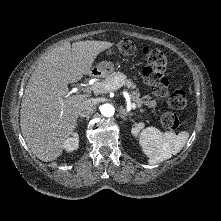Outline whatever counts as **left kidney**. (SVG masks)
Here are the masks:
<instances>
[{"mask_svg": "<svg viewBox=\"0 0 221 221\" xmlns=\"http://www.w3.org/2000/svg\"><path fill=\"white\" fill-rule=\"evenodd\" d=\"M143 127H144L143 123H135L131 129L132 135L136 137Z\"/></svg>", "mask_w": 221, "mask_h": 221, "instance_id": "1", "label": "left kidney"}]
</instances>
